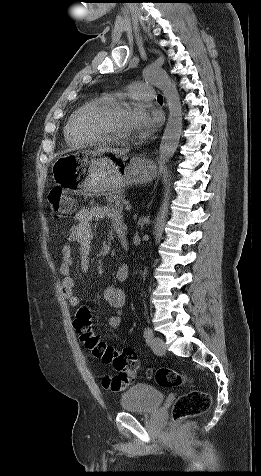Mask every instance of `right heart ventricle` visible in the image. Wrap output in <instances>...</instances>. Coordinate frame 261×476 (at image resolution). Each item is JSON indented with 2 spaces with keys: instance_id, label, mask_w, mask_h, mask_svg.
<instances>
[{
  "instance_id": "obj_1",
  "label": "right heart ventricle",
  "mask_w": 261,
  "mask_h": 476,
  "mask_svg": "<svg viewBox=\"0 0 261 476\" xmlns=\"http://www.w3.org/2000/svg\"><path fill=\"white\" fill-rule=\"evenodd\" d=\"M112 100L108 95H100L91 98L77 107L69 116L65 128L64 135L65 140L71 147H84L99 143L100 140L92 136L87 135L81 128V117L85 110L90 106Z\"/></svg>"
}]
</instances>
